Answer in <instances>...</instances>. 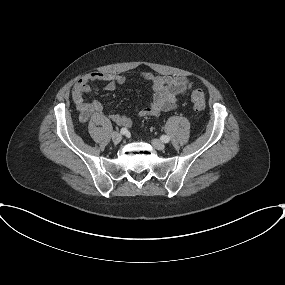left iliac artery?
<instances>
[{
	"mask_svg": "<svg viewBox=\"0 0 285 285\" xmlns=\"http://www.w3.org/2000/svg\"><path fill=\"white\" fill-rule=\"evenodd\" d=\"M160 139L164 143H168L170 141V137L166 135H162Z\"/></svg>",
	"mask_w": 285,
	"mask_h": 285,
	"instance_id": "obj_1",
	"label": "left iliac artery"
}]
</instances>
